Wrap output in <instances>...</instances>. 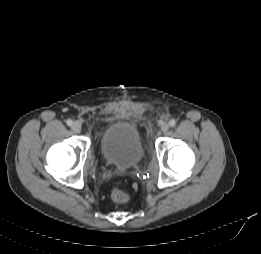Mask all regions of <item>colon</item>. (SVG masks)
<instances>
[{"label":"colon","mask_w":261,"mask_h":254,"mask_svg":"<svg viewBox=\"0 0 261 254\" xmlns=\"http://www.w3.org/2000/svg\"><path fill=\"white\" fill-rule=\"evenodd\" d=\"M111 198L116 203H125L129 200V194L125 191L114 189L111 192Z\"/></svg>","instance_id":"5ec220e1"}]
</instances>
